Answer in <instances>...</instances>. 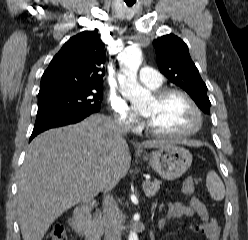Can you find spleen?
<instances>
[{"label":"spleen","mask_w":248,"mask_h":240,"mask_svg":"<svg viewBox=\"0 0 248 240\" xmlns=\"http://www.w3.org/2000/svg\"><path fill=\"white\" fill-rule=\"evenodd\" d=\"M206 185L211 198L215 201H221L225 196V187L215 171H210L206 177Z\"/></svg>","instance_id":"3e777b00"}]
</instances>
